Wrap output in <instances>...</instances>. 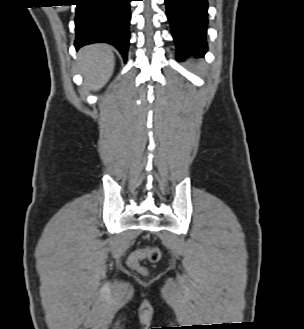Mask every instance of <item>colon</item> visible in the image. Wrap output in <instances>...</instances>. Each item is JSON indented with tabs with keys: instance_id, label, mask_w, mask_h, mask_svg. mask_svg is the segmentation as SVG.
Here are the masks:
<instances>
[{
	"instance_id": "5ec220e1",
	"label": "colon",
	"mask_w": 304,
	"mask_h": 329,
	"mask_svg": "<svg viewBox=\"0 0 304 329\" xmlns=\"http://www.w3.org/2000/svg\"><path fill=\"white\" fill-rule=\"evenodd\" d=\"M144 258H147L152 263H156L160 260L161 253L157 248L135 251L128 258L129 267L141 274H146V268L140 264V261Z\"/></svg>"
}]
</instances>
